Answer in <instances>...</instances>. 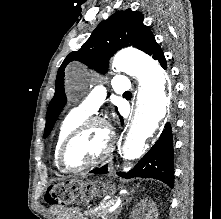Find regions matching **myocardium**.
Returning <instances> with one entry per match:
<instances>
[{
	"instance_id": "1",
	"label": "myocardium",
	"mask_w": 221,
	"mask_h": 219,
	"mask_svg": "<svg viewBox=\"0 0 221 219\" xmlns=\"http://www.w3.org/2000/svg\"><path fill=\"white\" fill-rule=\"evenodd\" d=\"M91 126H100L106 134V144L102 151V153L93 161L79 166V167H71L66 162V152L69 148V146L72 144V142L87 128ZM115 143L114 133L111 128V126L102 118L100 117H90L86 118L84 121H82L80 124H78L76 127H74L69 134L66 136L64 141L62 142L58 155H57V162L60 167V169L63 172L66 173H77L84 170H88L90 168H93L100 164L102 161H104L112 152L113 147Z\"/></svg>"
}]
</instances>
